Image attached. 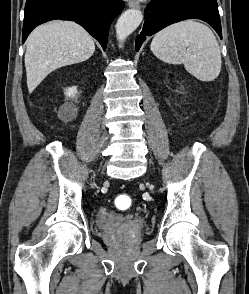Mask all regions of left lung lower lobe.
<instances>
[{
    "label": "left lung lower lobe",
    "instance_id": "obj_1",
    "mask_svg": "<svg viewBox=\"0 0 249 294\" xmlns=\"http://www.w3.org/2000/svg\"><path fill=\"white\" fill-rule=\"evenodd\" d=\"M143 30L136 38L139 51L146 36L186 19H200L210 24L222 38L220 16L216 0H153L145 9Z\"/></svg>",
    "mask_w": 249,
    "mask_h": 294
}]
</instances>
